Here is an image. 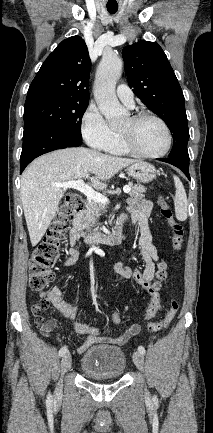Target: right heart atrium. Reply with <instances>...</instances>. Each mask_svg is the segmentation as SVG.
<instances>
[{"instance_id": "1", "label": "right heart atrium", "mask_w": 213, "mask_h": 433, "mask_svg": "<svg viewBox=\"0 0 213 433\" xmlns=\"http://www.w3.org/2000/svg\"><path fill=\"white\" fill-rule=\"evenodd\" d=\"M81 133L87 144L98 150H104L114 136V131L94 106H89L82 116Z\"/></svg>"}]
</instances>
